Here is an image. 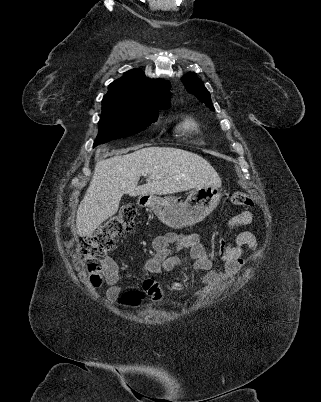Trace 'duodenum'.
<instances>
[{"mask_svg": "<svg viewBox=\"0 0 321 402\" xmlns=\"http://www.w3.org/2000/svg\"><path fill=\"white\" fill-rule=\"evenodd\" d=\"M138 203L140 206H146L149 203V198L148 197H141L138 200Z\"/></svg>", "mask_w": 321, "mask_h": 402, "instance_id": "410a0bca", "label": "duodenum"}]
</instances>
